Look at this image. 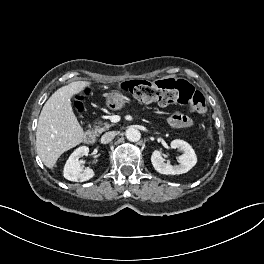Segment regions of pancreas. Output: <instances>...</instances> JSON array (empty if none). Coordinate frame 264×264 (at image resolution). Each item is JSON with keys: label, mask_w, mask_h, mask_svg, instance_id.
<instances>
[{"label": "pancreas", "mask_w": 264, "mask_h": 264, "mask_svg": "<svg viewBox=\"0 0 264 264\" xmlns=\"http://www.w3.org/2000/svg\"><path fill=\"white\" fill-rule=\"evenodd\" d=\"M112 126L113 124H109V123H98V125L94 126V133L97 135L101 134L102 132L108 130Z\"/></svg>", "instance_id": "pancreas-1"}]
</instances>
